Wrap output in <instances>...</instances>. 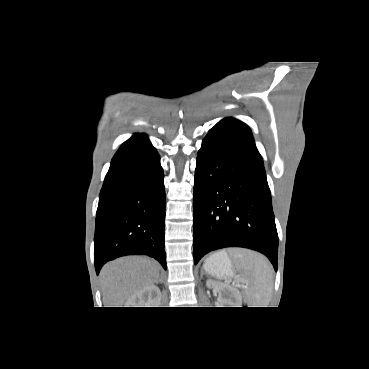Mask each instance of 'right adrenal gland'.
<instances>
[{
  "instance_id": "obj_1",
  "label": "right adrenal gland",
  "mask_w": 369,
  "mask_h": 369,
  "mask_svg": "<svg viewBox=\"0 0 369 369\" xmlns=\"http://www.w3.org/2000/svg\"><path fill=\"white\" fill-rule=\"evenodd\" d=\"M158 282L162 283L161 278H159V279L156 281V283H158Z\"/></svg>"
}]
</instances>
